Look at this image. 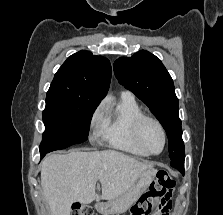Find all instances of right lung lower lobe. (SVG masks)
I'll return each mask as SVG.
<instances>
[{
	"instance_id": "1",
	"label": "right lung lower lobe",
	"mask_w": 223,
	"mask_h": 215,
	"mask_svg": "<svg viewBox=\"0 0 223 215\" xmlns=\"http://www.w3.org/2000/svg\"><path fill=\"white\" fill-rule=\"evenodd\" d=\"M47 154V153H46ZM46 154H41V158H43Z\"/></svg>"
}]
</instances>
